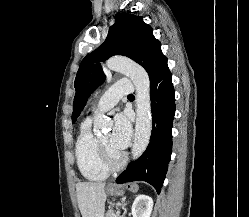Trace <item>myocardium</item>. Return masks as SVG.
<instances>
[{
    "mask_svg": "<svg viewBox=\"0 0 249 217\" xmlns=\"http://www.w3.org/2000/svg\"><path fill=\"white\" fill-rule=\"evenodd\" d=\"M99 148L103 163L108 168V170L117 171L125 165L127 161V156L125 153H113L101 140H99Z\"/></svg>",
    "mask_w": 249,
    "mask_h": 217,
    "instance_id": "obj_1",
    "label": "myocardium"
}]
</instances>
